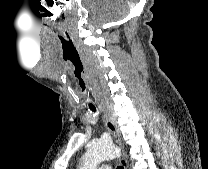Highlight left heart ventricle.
<instances>
[{"label": "left heart ventricle", "instance_id": "obj_1", "mask_svg": "<svg viewBox=\"0 0 208 169\" xmlns=\"http://www.w3.org/2000/svg\"><path fill=\"white\" fill-rule=\"evenodd\" d=\"M93 169H100L99 167H94Z\"/></svg>", "mask_w": 208, "mask_h": 169}]
</instances>
